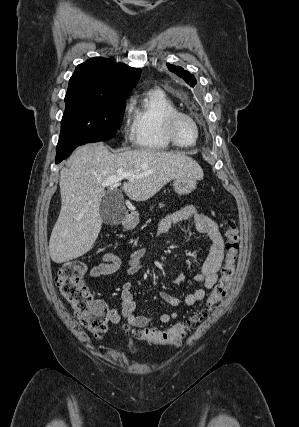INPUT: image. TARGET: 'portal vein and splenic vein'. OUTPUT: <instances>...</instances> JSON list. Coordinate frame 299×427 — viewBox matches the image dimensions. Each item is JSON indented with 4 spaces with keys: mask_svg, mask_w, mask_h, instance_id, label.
<instances>
[{
    "mask_svg": "<svg viewBox=\"0 0 299 427\" xmlns=\"http://www.w3.org/2000/svg\"><path fill=\"white\" fill-rule=\"evenodd\" d=\"M137 176L131 173H119L117 176L107 179L103 182V186L118 185L123 179H135Z\"/></svg>",
    "mask_w": 299,
    "mask_h": 427,
    "instance_id": "portal-vein-and-splenic-vein-1",
    "label": "portal vein and splenic vein"
}]
</instances>
